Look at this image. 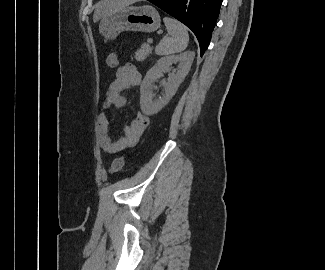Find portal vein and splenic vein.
Instances as JSON below:
<instances>
[{"instance_id": "18ae733b", "label": "portal vein and splenic vein", "mask_w": 325, "mask_h": 270, "mask_svg": "<svg viewBox=\"0 0 325 270\" xmlns=\"http://www.w3.org/2000/svg\"><path fill=\"white\" fill-rule=\"evenodd\" d=\"M153 40L152 39H149V42H152Z\"/></svg>"}]
</instances>
